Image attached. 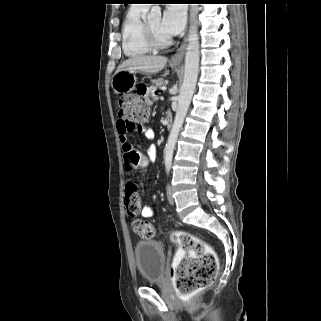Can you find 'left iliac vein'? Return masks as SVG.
Instances as JSON below:
<instances>
[{"mask_svg":"<svg viewBox=\"0 0 321 321\" xmlns=\"http://www.w3.org/2000/svg\"><path fill=\"white\" fill-rule=\"evenodd\" d=\"M167 199L171 205L174 204V198H173L172 188L170 184L167 185Z\"/></svg>","mask_w":321,"mask_h":321,"instance_id":"left-iliac-vein-1","label":"left iliac vein"}]
</instances>
